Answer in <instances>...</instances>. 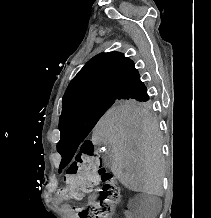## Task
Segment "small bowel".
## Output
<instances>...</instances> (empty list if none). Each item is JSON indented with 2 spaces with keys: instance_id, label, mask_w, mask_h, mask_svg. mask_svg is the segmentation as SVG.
Listing matches in <instances>:
<instances>
[{
  "instance_id": "1",
  "label": "small bowel",
  "mask_w": 211,
  "mask_h": 218,
  "mask_svg": "<svg viewBox=\"0 0 211 218\" xmlns=\"http://www.w3.org/2000/svg\"><path fill=\"white\" fill-rule=\"evenodd\" d=\"M97 198V190L95 189V191L90 195L89 197V200L90 201H93ZM54 202L58 205H61L62 208L66 211V212H69L71 213L73 211V209L71 208L70 205L68 204H65L64 203V200H65V197L63 195V191L60 190V191H57L55 194H54V198H53ZM125 216L126 218H132V213L130 211H126L125 212Z\"/></svg>"
}]
</instances>
